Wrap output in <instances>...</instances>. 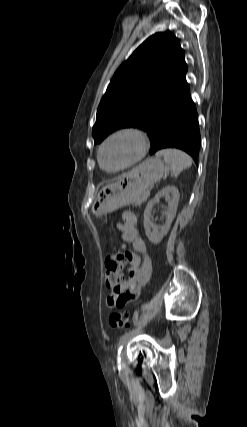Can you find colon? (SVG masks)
<instances>
[{
	"label": "colon",
	"instance_id": "1",
	"mask_svg": "<svg viewBox=\"0 0 247 427\" xmlns=\"http://www.w3.org/2000/svg\"><path fill=\"white\" fill-rule=\"evenodd\" d=\"M125 255L121 248H116L115 253L106 259L105 283L111 289L117 287L121 282ZM109 323L113 328L124 329L131 326L132 319L127 312H114L109 317Z\"/></svg>",
	"mask_w": 247,
	"mask_h": 427
}]
</instances>
